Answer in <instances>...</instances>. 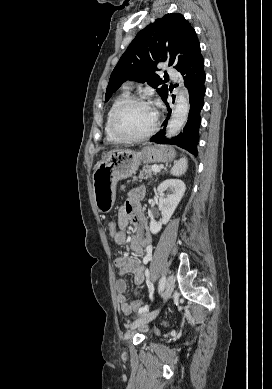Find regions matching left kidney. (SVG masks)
I'll return each mask as SVG.
<instances>
[{
	"label": "left kidney",
	"mask_w": 272,
	"mask_h": 389,
	"mask_svg": "<svg viewBox=\"0 0 272 389\" xmlns=\"http://www.w3.org/2000/svg\"><path fill=\"white\" fill-rule=\"evenodd\" d=\"M185 189L184 182L179 179H168L158 186L157 192L162 194V197L159 199L158 208L161 211L163 218L159 222H156L151 218L150 231L152 234H157L162 229V225L169 222L185 193ZM165 190L170 191L172 194L164 196L163 193Z\"/></svg>",
	"instance_id": "obj_1"
}]
</instances>
